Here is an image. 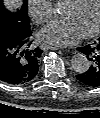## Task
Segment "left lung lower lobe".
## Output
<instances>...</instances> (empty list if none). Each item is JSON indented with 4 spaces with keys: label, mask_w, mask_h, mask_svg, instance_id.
Returning a JSON list of instances; mask_svg holds the SVG:
<instances>
[{
    "label": "left lung lower lobe",
    "mask_w": 100,
    "mask_h": 118,
    "mask_svg": "<svg viewBox=\"0 0 100 118\" xmlns=\"http://www.w3.org/2000/svg\"><path fill=\"white\" fill-rule=\"evenodd\" d=\"M78 51L85 54L89 60V69L81 74L76 75L80 83L89 87L100 86V38L98 41L77 48Z\"/></svg>",
    "instance_id": "0a47b994"
}]
</instances>
